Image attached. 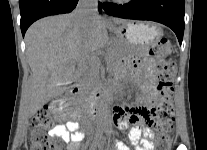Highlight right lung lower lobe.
<instances>
[{
  "instance_id": "98d812e1",
  "label": "right lung lower lobe",
  "mask_w": 207,
  "mask_h": 150,
  "mask_svg": "<svg viewBox=\"0 0 207 150\" xmlns=\"http://www.w3.org/2000/svg\"><path fill=\"white\" fill-rule=\"evenodd\" d=\"M77 3L78 0H19L22 35L24 36L28 27L36 20L50 15L69 13ZM98 9L101 13V3Z\"/></svg>"
}]
</instances>
